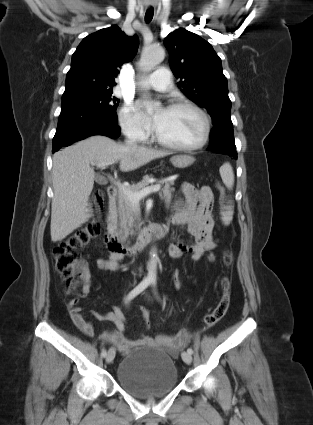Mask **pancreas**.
Returning <instances> with one entry per match:
<instances>
[{"label": "pancreas", "instance_id": "1", "mask_svg": "<svg viewBox=\"0 0 313 425\" xmlns=\"http://www.w3.org/2000/svg\"><path fill=\"white\" fill-rule=\"evenodd\" d=\"M151 176H145L142 181L138 182L135 185L126 187L132 192H139L149 185V180ZM159 184H164V187L159 192V196L162 200H165L166 203H170L172 199V191L174 188L171 185L174 184V181L162 180L159 181ZM118 232L127 238L129 235L136 234V231H140V206L133 204L127 196L122 192H118Z\"/></svg>", "mask_w": 313, "mask_h": 425}]
</instances>
